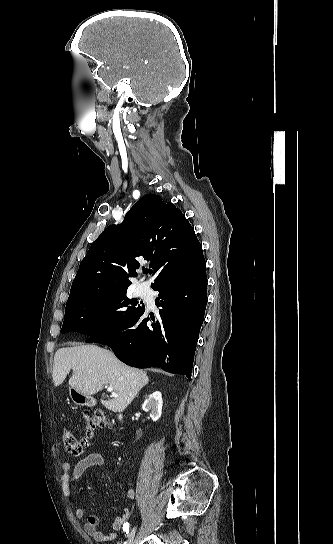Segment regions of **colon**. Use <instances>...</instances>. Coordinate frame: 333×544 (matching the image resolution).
Masks as SVG:
<instances>
[{
    "mask_svg": "<svg viewBox=\"0 0 333 544\" xmlns=\"http://www.w3.org/2000/svg\"><path fill=\"white\" fill-rule=\"evenodd\" d=\"M112 423L99 412L88 413L84 415V435L77 437L69 431H64L62 441L65 450L75 456L84 453L88 440L96 427L111 426Z\"/></svg>",
    "mask_w": 333,
    "mask_h": 544,
    "instance_id": "colon-1",
    "label": "colon"
}]
</instances>
